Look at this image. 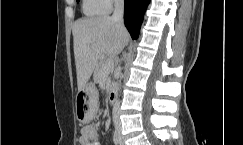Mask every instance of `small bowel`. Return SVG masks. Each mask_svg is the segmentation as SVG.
<instances>
[{
	"instance_id": "c3829d8e",
	"label": "small bowel",
	"mask_w": 243,
	"mask_h": 145,
	"mask_svg": "<svg viewBox=\"0 0 243 145\" xmlns=\"http://www.w3.org/2000/svg\"><path fill=\"white\" fill-rule=\"evenodd\" d=\"M80 145H100L97 131L93 126H85L81 129L78 139Z\"/></svg>"
}]
</instances>
